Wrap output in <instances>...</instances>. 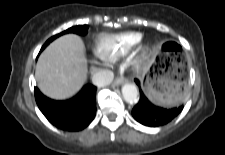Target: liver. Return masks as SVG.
Segmentation results:
<instances>
[{
	"label": "liver",
	"instance_id": "1",
	"mask_svg": "<svg viewBox=\"0 0 225 155\" xmlns=\"http://www.w3.org/2000/svg\"><path fill=\"white\" fill-rule=\"evenodd\" d=\"M39 89L53 99L76 94L87 79L84 44L75 34L53 41L40 55L35 71Z\"/></svg>",
	"mask_w": 225,
	"mask_h": 155
}]
</instances>
